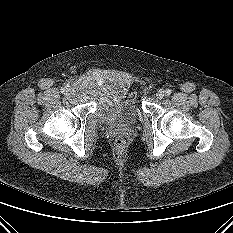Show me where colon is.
<instances>
[{"instance_id":"obj_1","label":"colon","mask_w":233,"mask_h":233,"mask_svg":"<svg viewBox=\"0 0 233 233\" xmlns=\"http://www.w3.org/2000/svg\"><path fill=\"white\" fill-rule=\"evenodd\" d=\"M114 147H115V149H116L117 152H119V153L124 152L125 149H126V141H125V139H123L121 137L117 138L115 140V142H114Z\"/></svg>"}]
</instances>
